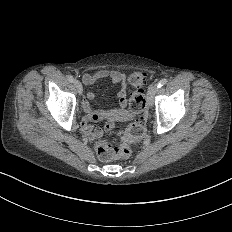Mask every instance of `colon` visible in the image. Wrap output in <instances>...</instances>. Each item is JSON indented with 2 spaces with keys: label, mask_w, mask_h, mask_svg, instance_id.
Returning a JSON list of instances; mask_svg holds the SVG:
<instances>
[{
  "label": "colon",
  "mask_w": 232,
  "mask_h": 232,
  "mask_svg": "<svg viewBox=\"0 0 232 232\" xmlns=\"http://www.w3.org/2000/svg\"><path fill=\"white\" fill-rule=\"evenodd\" d=\"M146 71H132L130 81L132 83L131 107L134 111L139 112L146 104L145 94L146 86H150V81H144ZM144 127L137 122L130 123L123 133V140L127 144H135L142 140ZM115 134H105L101 136L94 145V152L109 162H116L121 156L130 154L131 149L124 146V141Z\"/></svg>",
  "instance_id": "5ec220e1"
}]
</instances>
